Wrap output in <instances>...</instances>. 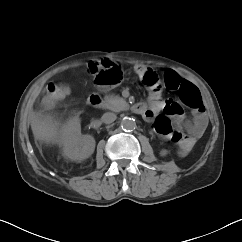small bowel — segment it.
<instances>
[{"mask_svg":"<svg viewBox=\"0 0 242 242\" xmlns=\"http://www.w3.org/2000/svg\"><path fill=\"white\" fill-rule=\"evenodd\" d=\"M102 64L120 67L118 63L109 60L102 61ZM135 71L142 78L148 71L152 70L142 65H136ZM168 73L183 80L179 74L171 70L165 73V77ZM145 106H147V110L142 116L146 120L153 119L160 109L170 118L173 132L169 138L171 140H174V137L176 138L175 142H177L178 149L183 154L187 153L194 146L196 139L205 128L206 116L203 112L196 111L190 119H185L181 106L173 101L162 102L159 92L153 93L151 96V105L145 104ZM185 131H187V133H185Z\"/></svg>","mask_w":242,"mask_h":242,"instance_id":"small-bowel-1","label":"small bowel"}]
</instances>
